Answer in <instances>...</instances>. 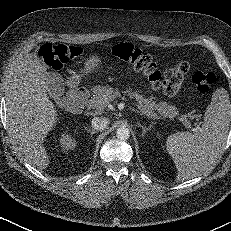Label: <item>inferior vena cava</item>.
Returning <instances> with one entry per match:
<instances>
[{"instance_id":"602c4592","label":"inferior vena cava","mask_w":231,"mask_h":231,"mask_svg":"<svg viewBox=\"0 0 231 231\" xmlns=\"http://www.w3.org/2000/svg\"><path fill=\"white\" fill-rule=\"evenodd\" d=\"M109 123L110 120L106 117H94L92 119V127L98 131L106 129Z\"/></svg>"}]
</instances>
